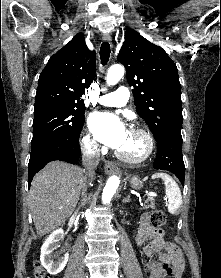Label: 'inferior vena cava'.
<instances>
[{
	"label": "inferior vena cava",
	"instance_id": "602c4592",
	"mask_svg": "<svg viewBox=\"0 0 221 278\" xmlns=\"http://www.w3.org/2000/svg\"><path fill=\"white\" fill-rule=\"evenodd\" d=\"M100 151L98 149H92L85 151L82 156V162L86 169V174L92 177L95 173V169L99 164ZM86 190H84L85 192ZM83 192V193H84Z\"/></svg>",
	"mask_w": 221,
	"mask_h": 278
}]
</instances>
